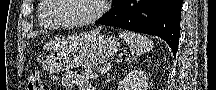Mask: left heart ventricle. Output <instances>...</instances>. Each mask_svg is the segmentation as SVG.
I'll list each match as a JSON object with an SVG mask.
<instances>
[{
  "instance_id": "obj_1",
  "label": "left heart ventricle",
  "mask_w": 216,
  "mask_h": 90,
  "mask_svg": "<svg viewBox=\"0 0 216 90\" xmlns=\"http://www.w3.org/2000/svg\"><path fill=\"white\" fill-rule=\"evenodd\" d=\"M67 1L57 20L69 24L72 20L82 21L96 13L99 0H60Z\"/></svg>"
}]
</instances>
